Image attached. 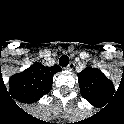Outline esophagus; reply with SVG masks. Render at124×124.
<instances>
[{
  "instance_id": "esophagus-1",
  "label": "esophagus",
  "mask_w": 124,
  "mask_h": 124,
  "mask_svg": "<svg viewBox=\"0 0 124 124\" xmlns=\"http://www.w3.org/2000/svg\"><path fill=\"white\" fill-rule=\"evenodd\" d=\"M75 67V64L73 62L69 63L66 69L73 70Z\"/></svg>"
}]
</instances>
